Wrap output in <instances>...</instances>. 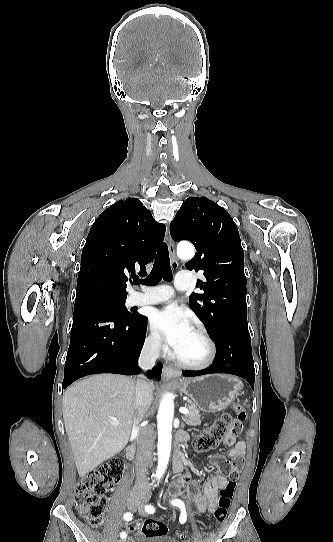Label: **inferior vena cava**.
<instances>
[{
  "instance_id": "obj_1",
  "label": "inferior vena cava",
  "mask_w": 333,
  "mask_h": 542,
  "mask_svg": "<svg viewBox=\"0 0 333 542\" xmlns=\"http://www.w3.org/2000/svg\"><path fill=\"white\" fill-rule=\"evenodd\" d=\"M160 340L154 342L150 348H144L138 360V366L142 370H151L155 366V362L159 356ZM153 394L150 388V382H147L144 376H138L136 382V414L134 418V426L139 430V438L137 440L138 448L135 460L136 482L138 488H148L149 482L146 476V470L152 460L154 450V432L150 426H142L138 428L142 422V414L144 410H148L152 404Z\"/></svg>"
}]
</instances>
